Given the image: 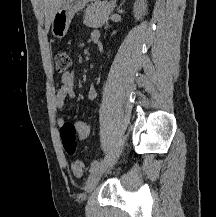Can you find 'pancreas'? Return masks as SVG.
<instances>
[{
  "mask_svg": "<svg viewBox=\"0 0 216 217\" xmlns=\"http://www.w3.org/2000/svg\"><path fill=\"white\" fill-rule=\"evenodd\" d=\"M114 7V3L108 2H97L90 5L85 11L83 23L88 27H102L108 21Z\"/></svg>",
  "mask_w": 216,
  "mask_h": 217,
  "instance_id": "1",
  "label": "pancreas"
}]
</instances>
